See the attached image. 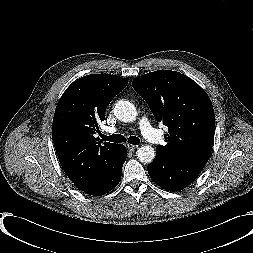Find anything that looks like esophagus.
<instances>
[{"instance_id": "esophagus-1", "label": "esophagus", "mask_w": 253, "mask_h": 253, "mask_svg": "<svg viewBox=\"0 0 253 253\" xmlns=\"http://www.w3.org/2000/svg\"><path fill=\"white\" fill-rule=\"evenodd\" d=\"M127 148H128L130 151H135V150L138 148V146L128 144V145H127Z\"/></svg>"}]
</instances>
